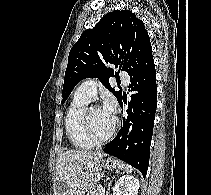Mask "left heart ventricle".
Listing matches in <instances>:
<instances>
[{"label":"left heart ventricle","mask_w":211,"mask_h":195,"mask_svg":"<svg viewBox=\"0 0 211 195\" xmlns=\"http://www.w3.org/2000/svg\"><path fill=\"white\" fill-rule=\"evenodd\" d=\"M90 120L93 135L99 139L105 137L114 125V119L97 107L90 110Z\"/></svg>","instance_id":"obj_1"}]
</instances>
